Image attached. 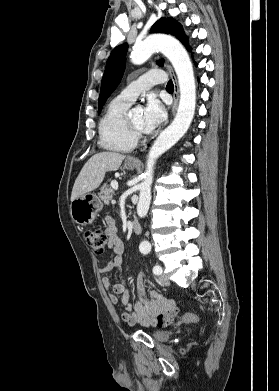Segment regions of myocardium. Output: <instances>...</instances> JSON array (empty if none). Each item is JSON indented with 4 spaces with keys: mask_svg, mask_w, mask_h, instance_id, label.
<instances>
[{
    "mask_svg": "<svg viewBox=\"0 0 279 391\" xmlns=\"http://www.w3.org/2000/svg\"><path fill=\"white\" fill-rule=\"evenodd\" d=\"M127 126L132 137L137 141L145 138V134L142 130H140L136 125L132 122L129 116H126Z\"/></svg>",
    "mask_w": 279,
    "mask_h": 391,
    "instance_id": "obj_1",
    "label": "myocardium"
}]
</instances>
